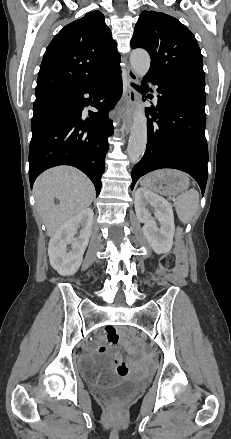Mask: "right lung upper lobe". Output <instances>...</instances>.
I'll list each match as a JSON object with an SVG mask.
<instances>
[{"instance_id":"obj_1","label":"right lung upper lobe","mask_w":231,"mask_h":439,"mask_svg":"<svg viewBox=\"0 0 231 439\" xmlns=\"http://www.w3.org/2000/svg\"><path fill=\"white\" fill-rule=\"evenodd\" d=\"M120 54L100 11L66 25L48 45L36 95L83 87L120 67Z\"/></svg>"}]
</instances>
